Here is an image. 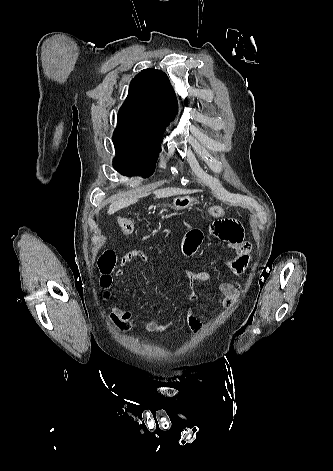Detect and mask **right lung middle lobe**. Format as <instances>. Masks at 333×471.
I'll return each mask as SVG.
<instances>
[{
	"mask_svg": "<svg viewBox=\"0 0 333 471\" xmlns=\"http://www.w3.org/2000/svg\"><path fill=\"white\" fill-rule=\"evenodd\" d=\"M163 131L142 127H116L113 167L125 176L149 177L155 170Z\"/></svg>",
	"mask_w": 333,
	"mask_h": 471,
	"instance_id": "1",
	"label": "right lung middle lobe"
}]
</instances>
